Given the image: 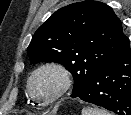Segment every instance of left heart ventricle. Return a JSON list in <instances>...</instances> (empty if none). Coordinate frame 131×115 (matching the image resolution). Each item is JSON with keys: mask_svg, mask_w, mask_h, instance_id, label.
Here are the masks:
<instances>
[{"mask_svg": "<svg viewBox=\"0 0 131 115\" xmlns=\"http://www.w3.org/2000/svg\"><path fill=\"white\" fill-rule=\"evenodd\" d=\"M59 84V77L54 72L43 71L34 78L33 90L38 97L46 99L56 92Z\"/></svg>", "mask_w": 131, "mask_h": 115, "instance_id": "1", "label": "left heart ventricle"}]
</instances>
